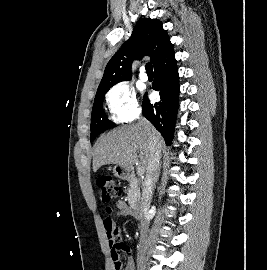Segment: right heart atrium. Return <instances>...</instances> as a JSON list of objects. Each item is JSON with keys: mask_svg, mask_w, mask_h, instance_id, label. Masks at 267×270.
<instances>
[{"mask_svg": "<svg viewBox=\"0 0 267 270\" xmlns=\"http://www.w3.org/2000/svg\"><path fill=\"white\" fill-rule=\"evenodd\" d=\"M105 100L109 114L116 122L132 121L140 114L135 92L126 82L113 85L107 91Z\"/></svg>", "mask_w": 267, "mask_h": 270, "instance_id": "right-heart-atrium-1", "label": "right heart atrium"}]
</instances>
